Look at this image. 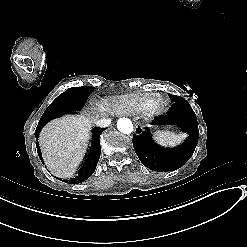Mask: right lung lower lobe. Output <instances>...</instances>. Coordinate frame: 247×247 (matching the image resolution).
<instances>
[{
    "label": "right lung lower lobe",
    "instance_id": "98d812e1",
    "mask_svg": "<svg viewBox=\"0 0 247 247\" xmlns=\"http://www.w3.org/2000/svg\"><path fill=\"white\" fill-rule=\"evenodd\" d=\"M50 119H45V118H41L39 120V123L37 125V128L35 130V137L36 140H38V135L40 130L43 128V126L49 121ZM104 128H95L92 132H93V137H92V145L90 148V151L86 157V160L83 164V166L81 167L78 176H76L75 178H73L70 181H65V182H72V183H80L82 181H84L85 179H88L95 171L97 163L99 161V157H100V153H101V147H100V134L104 131ZM37 147V152L39 155L40 160L43 163L42 160V156H41V152L39 149L38 144H36ZM64 182V180H63Z\"/></svg>",
    "mask_w": 247,
    "mask_h": 247
}]
</instances>
